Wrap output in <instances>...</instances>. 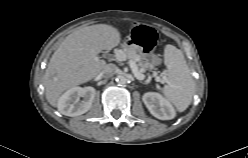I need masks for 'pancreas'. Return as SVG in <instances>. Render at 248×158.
<instances>
[{"label":"pancreas","mask_w":248,"mask_h":158,"mask_svg":"<svg viewBox=\"0 0 248 158\" xmlns=\"http://www.w3.org/2000/svg\"><path fill=\"white\" fill-rule=\"evenodd\" d=\"M122 50L125 52L128 59L133 60L136 63L140 72H144L145 70H147L149 63L145 61L144 58L140 54H138L137 47L123 46Z\"/></svg>","instance_id":"cf45deb5"}]
</instances>
